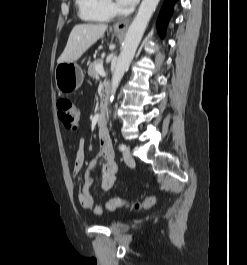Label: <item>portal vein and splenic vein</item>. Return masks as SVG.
Listing matches in <instances>:
<instances>
[{
  "instance_id": "1",
  "label": "portal vein and splenic vein",
  "mask_w": 247,
  "mask_h": 265,
  "mask_svg": "<svg viewBox=\"0 0 247 265\" xmlns=\"http://www.w3.org/2000/svg\"><path fill=\"white\" fill-rule=\"evenodd\" d=\"M96 70L101 74V75H105V73H104V71H103V67L101 66V65H98L97 67H96Z\"/></svg>"
}]
</instances>
